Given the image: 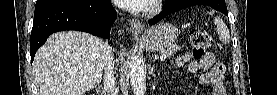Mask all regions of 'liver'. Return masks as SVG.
I'll list each match as a JSON object with an SVG mask.
<instances>
[{"mask_svg": "<svg viewBox=\"0 0 277 95\" xmlns=\"http://www.w3.org/2000/svg\"><path fill=\"white\" fill-rule=\"evenodd\" d=\"M111 47L84 32L52 34L35 55L32 73L39 95H83L102 80Z\"/></svg>", "mask_w": 277, "mask_h": 95, "instance_id": "1", "label": "liver"}]
</instances>
